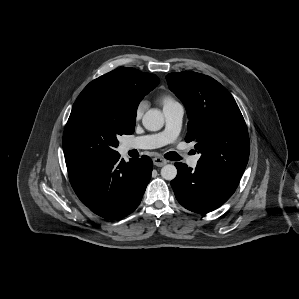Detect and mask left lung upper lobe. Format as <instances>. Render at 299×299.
Here are the masks:
<instances>
[{
  "mask_svg": "<svg viewBox=\"0 0 299 299\" xmlns=\"http://www.w3.org/2000/svg\"><path fill=\"white\" fill-rule=\"evenodd\" d=\"M168 86L183 102L186 142L201 154L197 165L239 179L246 168L250 142L242 113L229 91L215 79L192 71L170 73Z\"/></svg>",
  "mask_w": 299,
  "mask_h": 299,
  "instance_id": "obj_1",
  "label": "left lung upper lobe"
}]
</instances>
